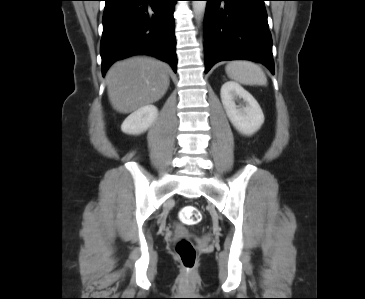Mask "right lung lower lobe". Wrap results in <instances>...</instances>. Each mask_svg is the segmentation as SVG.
I'll return each mask as SVG.
<instances>
[{
    "instance_id": "98d812e1",
    "label": "right lung lower lobe",
    "mask_w": 365,
    "mask_h": 299,
    "mask_svg": "<svg viewBox=\"0 0 365 299\" xmlns=\"http://www.w3.org/2000/svg\"><path fill=\"white\" fill-rule=\"evenodd\" d=\"M177 0H105L100 44L102 75L117 60L146 54L177 70L174 4Z\"/></svg>"
}]
</instances>
